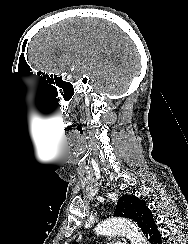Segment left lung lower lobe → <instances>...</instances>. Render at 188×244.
<instances>
[{
    "label": "left lung lower lobe",
    "instance_id": "1",
    "mask_svg": "<svg viewBox=\"0 0 188 244\" xmlns=\"http://www.w3.org/2000/svg\"><path fill=\"white\" fill-rule=\"evenodd\" d=\"M141 230L150 244H162L161 234L151 212L145 217Z\"/></svg>",
    "mask_w": 188,
    "mask_h": 244
}]
</instances>
